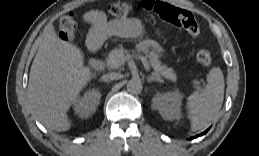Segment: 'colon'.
<instances>
[{
    "mask_svg": "<svg viewBox=\"0 0 259 156\" xmlns=\"http://www.w3.org/2000/svg\"><path fill=\"white\" fill-rule=\"evenodd\" d=\"M146 6L159 18L186 30L192 37L199 35V24L190 11L161 2L147 1ZM107 10L113 16L125 18L132 14L133 7L126 2H116L110 4ZM77 29L78 23L73 13L63 16L57 24L60 37L66 41H70L74 38ZM196 59L205 67L212 64L211 54L205 49H201L197 52Z\"/></svg>",
    "mask_w": 259,
    "mask_h": 156,
    "instance_id": "1",
    "label": "colon"
}]
</instances>
